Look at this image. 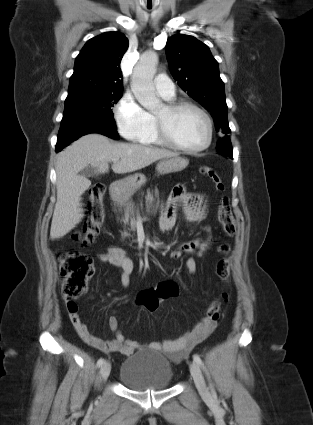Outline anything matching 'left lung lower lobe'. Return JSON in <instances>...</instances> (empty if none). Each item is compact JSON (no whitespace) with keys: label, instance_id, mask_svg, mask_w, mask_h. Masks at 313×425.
<instances>
[{"label":"left lung lower lobe","instance_id":"0a47b994","mask_svg":"<svg viewBox=\"0 0 313 425\" xmlns=\"http://www.w3.org/2000/svg\"><path fill=\"white\" fill-rule=\"evenodd\" d=\"M229 137H224L223 139H228Z\"/></svg>","mask_w":313,"mask_h":425}]
</instances>
